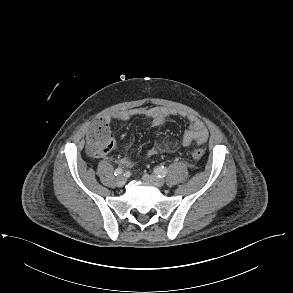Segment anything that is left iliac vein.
I'll use <instances>...</instances> for the list:
<instances>
[{"instance_id": "1", "label": "left iliac vein", "mask_w": 293, "mask_h": 293, "mask_svg": "<svg viewBox=\"0 0 293 293\" xmlns=\"http://www.w3.org/2000/svg\"><path fill=\"white\" fill-rule=\"evenodd\" d=\"M143 180L154 185L155 187H162L165 184L164 179L156 176V175H150V174H145L143 175Z\"/></svg>"}]
</instances>
